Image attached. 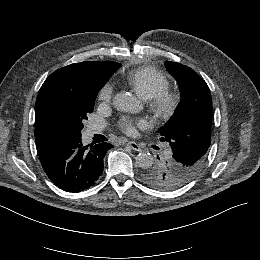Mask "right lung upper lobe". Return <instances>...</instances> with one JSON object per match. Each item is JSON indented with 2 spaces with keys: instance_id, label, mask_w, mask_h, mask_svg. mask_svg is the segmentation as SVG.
Here are the masks:
<instances>
[{
  "instance_id": "right-lung-upper-lobe-1",
  "label": "right lung upper lobe",
  "mask_w": 260,
  "mask_h": 260,
  "mask_svg": "<svg viewBox=\"0 0 260 260\" xmlns=\"http://www.w3.org/2000/svg\"><path fill=\"white\" fill-rule=\"evenodd\" d=\"M121 66L117 62L74 63L53 72L41 86L35 106V140L40 159L71 137L53 124V108L65 94L94 81L106 82Z\"/></svg>"
}]
</instances>
